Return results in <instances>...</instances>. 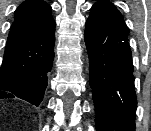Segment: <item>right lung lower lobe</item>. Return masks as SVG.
<instances>
[{
  "mask_svg": "<svg viewBox=\"0 0 151 131\" xmlns=\"http://www.w3.org/2000/svg\"><path fill=\"white\" fill-rule=\"evenodd\" d=\"M54 58V47L48 60L35 72L10 85L0 84V99L21 98L35 106H39L43 100L49 72L52 68Z\"/></svg>",
  "mask_w": 151,
  "mask_h": 131,
  "instance_id": "right-lung-lower-lobe-1",
  "label": "right lung lower lobe"
}]
</instances>
